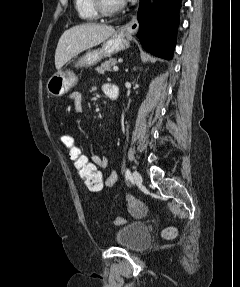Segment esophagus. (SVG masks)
I'll list each match as a JSON object with an SVG mask.
<instances>
[{"label":"esophagus","instance_id":"esophagus-1","mask_svg":"<svg viewBox=\"0 0 240 287\" xmlns=\"http://www.w3.org/2000/svg\"><path fill=\"white\" fill-rule=\"evenodd\" d=\"M138 28H139L138 20L136 16H133L128 23H126L121 27L120 31L121 33L124 34H134L135 32H137Z\"/></svg>","mask_w":240,"mask_h":287}]
</instances>
